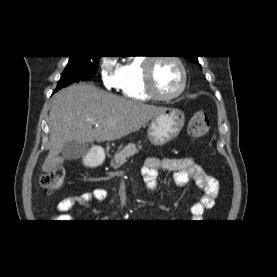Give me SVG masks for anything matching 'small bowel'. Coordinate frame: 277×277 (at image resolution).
I'll return each instance as SVG.
<instances>
[{
	"instance_id": "small-bowel-1",
	"label": "small bowel",
	"mask_w": 277,
	"mask_h": 277,
	"mask_svg": "<svg viewBox=\"0 0 277 277\" xmlns=\"http://www.w3.org/2000/svg\"><path fill=\"white\" fill-rule=\"evenodd\" d=\"M174 173V180L177 186L185 187L189 182H194L201 190L202 195L198 202L191 207L193 219L200 220L207 209L212 208L220 193L218 180L207 174L191 157H171L158 159L148 158L141 169V174L147 186L151 190L157 188L158 171ZM107 189L95 188L90 191H83L63 198L57 205V214L54 220H70L72 216L67 214L74 206L79 205L90 209L94 214L97 210L92 207L94 201H104L109 198ZM65 222V221H57Z\"/></svg>"
}]
</instances>
